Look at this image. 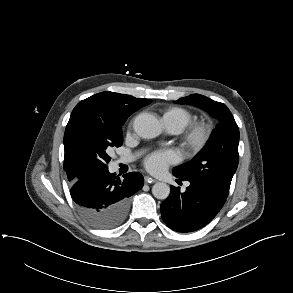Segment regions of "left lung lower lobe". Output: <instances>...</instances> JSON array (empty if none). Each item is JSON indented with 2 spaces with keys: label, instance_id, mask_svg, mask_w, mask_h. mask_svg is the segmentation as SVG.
I'll list each match as a JSON object with an SVG mask.
<instances>
[{
  "label": "left lung lower lobe",
  "instance_id": "1",
  "mask_svg": "<svg viewBox=\"0 0 293 293\" xmlns=\"http://www.w3.org/2000/svg\"><path fill=\"white\" fill-rule=\"evenodd\" d=\"M178 183L189 181L185 192L171 186V194L161 204V215L166 225L177 232H192L207 225L223 207L229 191L212 183L194 178H181Z\"/></svg>",
  "mask_w": 293,
  "mask_h": 293
}]
</instances>
